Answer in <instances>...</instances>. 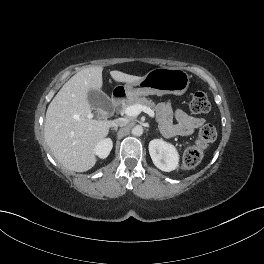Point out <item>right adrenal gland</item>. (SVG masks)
Here are the masks:
<instances>
[{
  "instance_id": "obj_1",
  "label": "right adrenal gland",
  "mask_w": 264,
  "mask_h": 264,
  "mask_svg": "<svg viewBox=\"0 0 264 264\" xmlns=\"http://www.w3.org/2000/svg\"><path fill=\"white\" fill-rule=\"evenodd\" d=\"M117 130H118L117 127L111 129V131H115V132H116Z\"/></svg>"
}]
</instances>
